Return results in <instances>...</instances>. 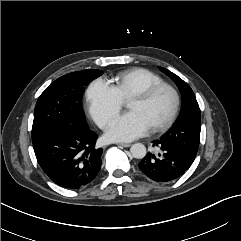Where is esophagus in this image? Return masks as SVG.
<instances>
[{
	"instance_id": "34e87169",
	"label": "esophagus",
	"mask_w": 241,
	"mask_h": 241,
	"mask_svg": "<svg viewBox=\"0 0 241 241\" xmlns=\"http://www.w3.org/2000/svg\"><path fill=\"white\" fill-rule=\"evenodd\" d=\"M119 146H123V147H130L131 144L130 143H118Z\"/></svg>"
}]
</instances>
